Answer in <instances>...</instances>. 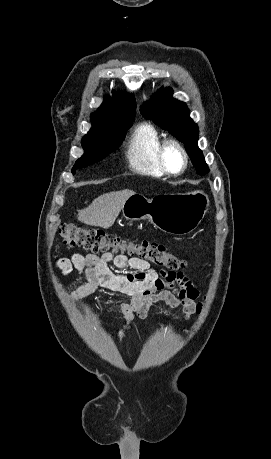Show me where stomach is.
<instances>
[{
  "instance_id": "1",
  "label": "stomach",
  "mask_w": 271,
  "mask_h": 459,
  "mask_svg": "<svg viewBox=\"0 0 271 459\" xmlns=\"http://www.w3.org/2000/svg\"><path fill=\"white\" fill-rule=\"evenodd\" d=\"M209 206V198L204 192L159 194L152 200L135 194L123 204L121 212L131 222L148 220L161 231L184 235L199 226Z\"/></svg>"
}]
</instances>
